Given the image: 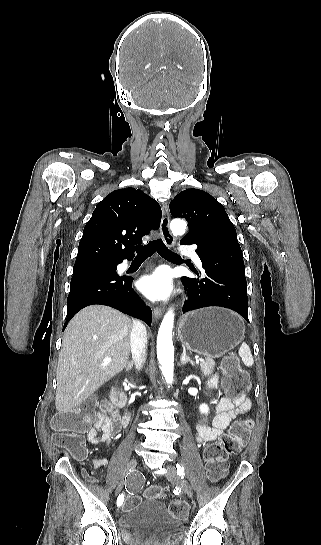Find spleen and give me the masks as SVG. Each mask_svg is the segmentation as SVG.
Segmentation results:
<instances>
[{
	"instance_id": "1",
	"label": "spleen",
	"mask_w": 321,
	"mask_h": 545,
	"mask_svg": "<svg viewBox=\"0 0 321 545\" xmlns=\"http://www.w3.org/2000/svg\"><path fill=\"white\" fill-rule=\"evenodd\" d=\"M238 355L239 357H241L245 367H252L254 361H253V357L251 355V351L248 347V345H246V343H242L239 351H238Z\"/></svg>"
}]
</instances>
